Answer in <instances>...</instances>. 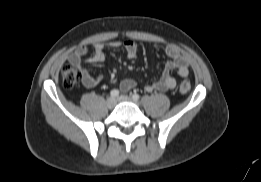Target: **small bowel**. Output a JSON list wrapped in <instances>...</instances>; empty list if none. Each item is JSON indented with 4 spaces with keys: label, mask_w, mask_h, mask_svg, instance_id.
<instances>
[{
    "label": "small bowel",
    "mask_w": 261,
    "mask_h": 182,
    "mask_svg": "<svg viewBox=\"0 0 261 182\" xmlns=\"http://www.w3.org/2000/svg\"><path fill=\"white\" fill-rule=\"evenodd\" d=\"M124 47L126 55L129 59H135L138 56L139 47L135 40L111 41V42H97L92 44L93 55L85 58L88 53L89 46L82 45L76 51L72 52L68 56V62L80 70L82 74V83L87 88L95 87L101 80V76H93L87 66L98 62L105 61V50L107 48H119ZM165 53L170 60L165 64L163 74L161 78L154 82L144 86V89L148 92L154 90L164 91L173 89L176 86L175 79L171 76L173 70L180 77H187L189 74V61L188 57L182 54L175 46L168 45L165 47ZM134 79H124L120 83V89L122 91H129L136 86Z\"/></svg>",
    "instance_id": "obj_1"
}]
</instances>
